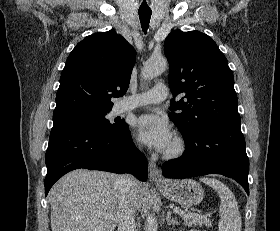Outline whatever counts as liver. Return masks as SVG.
<instances>
[{"instance_id":"1","label":"liver","mask_w":280,"mask_h":231,"mask_svg":"<svg viewBox=\"0 0 280 231\" xmlns=\"http://www.w3.org/2000/svg\"><path fill=\"white\" fill-rule=\"evenodd\" d=\"M121 175L74 169L49 191L52 231H113L118 221ZM143 183L130 189L134 209L143 203Z\"/></svg>"}]
</instances>
